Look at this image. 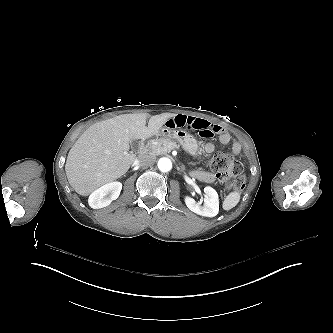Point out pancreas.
<instances>
[{
  "label": "pancreas",
  "instance_id": "pancreas-1",
  "mask_svg": "<svg viewBox=\"0 0 333 333\" xmlns=\"http://www.w3.org/2000/svg\"><path fill=\"white\" fill-rule=\"evenodd\" d=\"M176 146V142L170 138L161 137L149 146L148 154L151 156L165 155Z\"/></svg>",
  "mask_w": 333,
  "mask_h": 333
}]
</instances>
